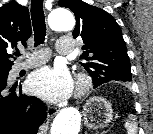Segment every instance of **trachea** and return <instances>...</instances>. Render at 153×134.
I'll return each mask as SVG.
<instances>
[{"label":"trachea","mask_w":153,"mask_h":134,"mask_svg":"<svg viewBox=\"0 0 153 134\" xmlns=\"http://www.w3.org/2000/svg\"><path fill=\"white\" fill-rule=\"evenodd\" d=\"M31 19L34 30L35 46L44 43L46 36V24L43 11V0H31ZM16 56L20 53L16 52Z\"/></svg>","instance_id":"obj_1"}]
</instances>
